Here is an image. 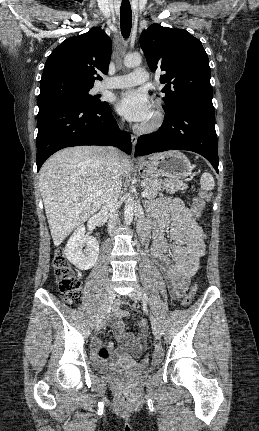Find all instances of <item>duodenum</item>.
Returning a JSON list of instances; mask_svg holds the SVG:
<instances>
[{
	"label": "duodenum",
	"instance_id": "obj_1",
	"mask_svg": "<svg viewBox=\"0 0 259 431\" xmlns=\"http://www.w3.org/2000/svg\"><path fill=\"white\" fill-rule=\"evenodd\" d=\"M139 233H140L142 240H144L147 237L148 229H147L146 225H144V224L140 225Z\"/></svg>",
	"mask_w": 259,
	"mask_h": 431
}]
</instances>
